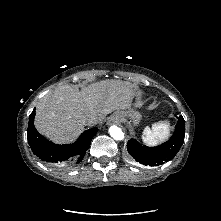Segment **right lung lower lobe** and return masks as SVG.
<instances>
[{
	"instance_id": "obj_1",
	"label": "right lung lower lobe",
	"mask_w": 221,
	"mask_h": 221,
	"mask_svg": "<svg viewBox=\"0 0 221 221\" xmlns=\"http://www.w3.org/2000/svg\"><path fill=\"white\" fill-rule=\"evenodd\" d=\"M35 110L29 116L27 130L28 143L32 152L40 159L62 169L73 167L82 161L97 128L83 132L73 144L58 145L46 140L34 126Z\"/></svg>"
}]
</instances>
